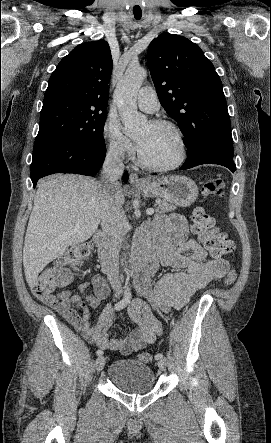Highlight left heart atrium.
Masks as SVG:
<instances>
[{
  "mask_svg": "<svg viewBox=\"0 0 271 443\" xmlns=\"http://www.w3.org/2000/svg\"><path fill=\"white\" fill-rule=\"evenodd\" d=\"M137 146H138V148H139V150L141 149V144L140 143H137Z\"/></svg>",
  "mask_w": 271,
  "mask_h": 443,
  "instance_id": "left-heart-atrium-1",
  "label": "left heart atrium"
}]
</instances>
